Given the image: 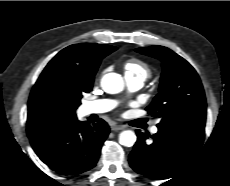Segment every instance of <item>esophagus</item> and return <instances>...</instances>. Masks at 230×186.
<instances>
[{
  "label": "esophagus",
  "mask_w": 230,
  "mask_h": 186,
  "mask_svg": "<svg viewBox=\"0 0 230 186\" xmlns=\"http://www.w3.org/2000/svg\"><path fill=\"white\" fill-rule=\"evenodd\" d=\"M123 129H125L124 125H117V124H115V125L111 126V130L112 131H119V130H123Z\"/></svg>",
  "instance_id": "obj_1"
}]
</instances>
